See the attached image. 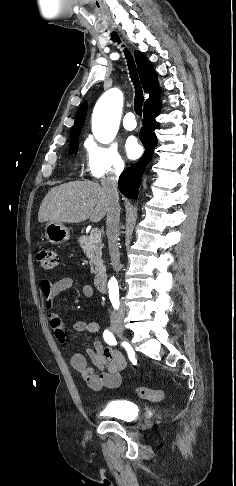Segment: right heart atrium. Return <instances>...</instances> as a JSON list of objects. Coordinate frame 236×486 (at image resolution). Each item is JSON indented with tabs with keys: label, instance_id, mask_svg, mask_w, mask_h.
I'll return each mask as SVG.
<instances>
[{
	"label": "right heart atrium",
	"instance_id": "obj_1",
	"mask_svg": "<svg viewBox=\"0 0 236 486\" xmlns=\"http://www.w3.org/2000/svg\"><path fill=\"white\" fill-rule=\"evenodd\" d=\"M86 168L93 179L118 175L125 168V161L114 144H102L88 138L85 141Z\"/></svg>",
	"mask_w": 236,
	"mask_h": 486
}]
</instances>
